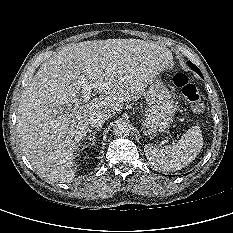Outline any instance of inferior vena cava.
I'll return each instance as SVG.
<instances>
[{"label": "inferior vena cava", "mask_w": 233, "mask_h": 233, "mask_svg": "<svg viewBox=\"0 0 233 233\" xmlns=\"http://www.w3.org/2000/svg\"><path fill=\"white\" fill-rule=\"evenodd\" d=\"M106 120L107 118L105 117V115L101 113H95L90 116L89 124L94 128H98V127H102V125L105 123Z\"/></svg>", "instance_id": "602c4592"}]
</instances>
